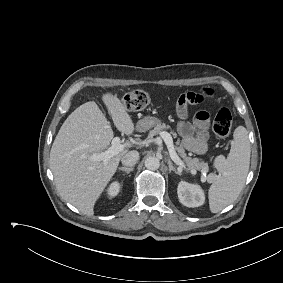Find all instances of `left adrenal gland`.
<instances>
[{"mask_svg":"<svg viewBox=\"0 0 283 283\" xmlns=\"http://www.w3.org/2000/svg\"><path fill=\"white\" fill-rule=\"evenodd\" d=\"M168 167H169V173H171L172 171L175 173V174H177V175H182V173H181V171H177L176 169H175V167L173 166V163L171 162V160L170 159H168Z\"/></svg>","mask_w":283,"mask_h":283,"instance_id":"a2214340","label":"left adrenal gland"}]
</instances>
